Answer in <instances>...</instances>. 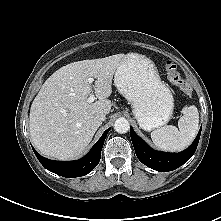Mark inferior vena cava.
<instances>
[{"mask_svg":"<svg viewBox=\"0 0 221 221\" xmlns=\"http://www.w3.org/2000/svg\"><path fill=\"white\" fill-rule=\"evenodd\" d=\"M106 119V116L104 114L98 115L96 117V120L100 123H102V121H104Z\"/></svg>","mask_w":221,"mask_h":221,"instance_id":"602c4592","label":"inferior vena cava"}]
</instances>
